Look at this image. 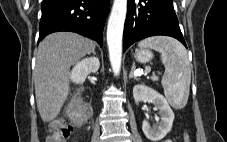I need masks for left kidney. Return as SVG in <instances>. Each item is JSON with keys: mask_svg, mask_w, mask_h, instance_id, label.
Masks as SVG:
<instances>
[{"mask_svg": "<svg viewBox=\"0 0 227 142\" xmlns=\"http://www.w3.org/2000/svg\"><path fill=\"white\" fill-rule=\"evenodd\" d=\"M133 97L138 104L140 101H150L158 109L160 114V122L151 127L147 120L142 123V130L145 136L152 142H158L163 139L171 130L174 121V113L170 108L166 98L154 89L145 85H135L133 88Z\"/></svg>", "mask_w": 227, "mask_h": 142, "instance_id": "5707ae66", "label": "left kidney"}]
</instances>
